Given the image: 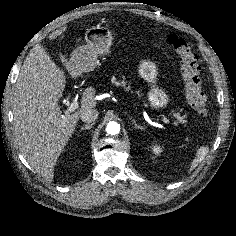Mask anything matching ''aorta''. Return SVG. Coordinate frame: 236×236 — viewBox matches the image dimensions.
Listing matches in <instances>:
<instances>
[{"mask_svg": "<svg viewBox=\"0 0 236 236\" xmlns=\"http://www.w3.org/2000/svg\"><path fill=\"white\" fill-rule=\"evenodd\" d=\"M106 131L110 135H116L120 132V125L117 122L110 121L107 124Z\"/></svg>", "mask_w": 236, "mask_h": 236, "instance_id": "1", "label": "aorta"}]
</instances>
